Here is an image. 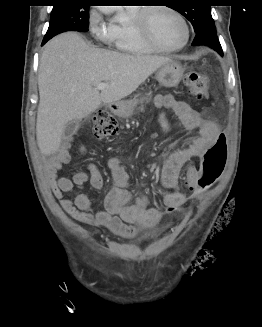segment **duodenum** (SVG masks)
Listing matches in <instances>:
<instances>
[{"instance_id": "410a0bca", "label": "duodenum", "mask_w": 262, "mask_h": 327, "mask_svg": "<svg viewBox=\"0 0 262 327\" xmlns=\"http://www.w3.org/2000/svg\"><path fill=\"white\" fill-rule=\"evenodd\" d=\"M120 109H121V108H120L119 105H115V106L113 107V110H114L115 113L119 112Z\"/></svg>"}]
</instances>
